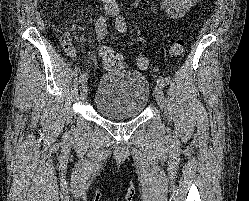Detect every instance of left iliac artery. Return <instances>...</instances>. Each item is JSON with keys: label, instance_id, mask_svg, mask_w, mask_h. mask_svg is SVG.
Segmentation results:
<instances>
[{"label": "left iliac artery", "instance_id": "obj_1", "mask_svg": "<svg viewBox=\"0 0 249 201\" xmlns=\"http://www.w3.org/2000/svg\"><path fill=\"white\" fill-rule=\"evenodd\" d=\"M116 27H117L118 31H120V32L127 31V25H126L124 17L120 16L119 18H117ZM157 84L162 88L165 87V82H164V79L162 76H159V78L157 79Z\"/></svg>", "mask_w": 249, "mask_h": 201}]
</instances>
